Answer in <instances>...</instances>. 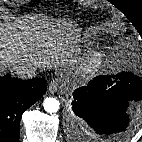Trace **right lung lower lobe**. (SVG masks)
Here are the masks:
<instances>
[{"instance_id":"obj_1","label":"right lung lower lobe","mask_w":142,"mask_h":142,"mask_svg":"<svg viewBox=\"0 0 142 142\" xmlns=\"http://www.w3.org/2000/svg\"><path fill=\"white\" fill-rule=\"evenodd\" d=\"M47 90L44 79L27 81L5 75L0 78V142H18L20 119L25 110Z\"/></svg>"}]
</instances>
